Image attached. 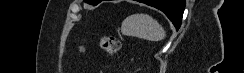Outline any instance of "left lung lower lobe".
I'll use <instances>...</instances> for the list:
<instances>
[{
	"label": "left lung lower lobe",
	"mask_w": 244,
	"mask_h": 73,
	"mask_svg": "<svg viewBox=\"0 0 244 73\" xmlns=\"http://www.w3.org/2000/svg\"><path fill=\"white\" fill-rule=\"evenodd\" d=\"M149 6L161 10L174 24L176 29L180 28L185 8V0H138Z\"/></svg>",
	"instance_id": "1"
}]
</instances>
